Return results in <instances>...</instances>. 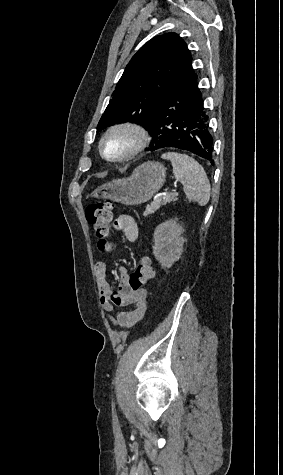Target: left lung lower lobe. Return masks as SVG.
<instances>
[{"label": "left lung lower lobe", "mask_w": 283, "mask_h": 475, "mask_svg": "<svg viewBox=\"0 0 283 475\" xmlns=\"http://www.w3.org/2000/svg\"><path fill=\"white\" fill-rule=\"evenodd\" d=\"M195 72L175 85L155 107L145 129L152 136L148 151L173 147L190 151L214 165L213 137Z\"/></svg>", "instance_id": "obj_1"}]
</instances>
